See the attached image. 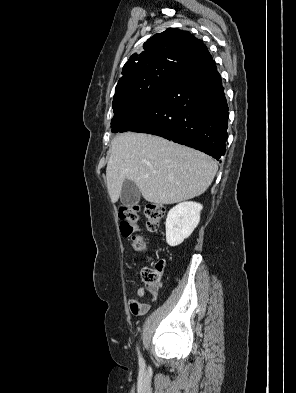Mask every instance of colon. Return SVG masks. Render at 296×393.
Returning <instances> with one entry per match:
<instances>
[{
	"mask_svg": "<svg viewBox=\"0 0 296 393\" xmlns=\"http://www.w3.org/2000/svg\"><path fill=\"white\" fill-rule=\"evenodd\" d=\"M139 206L123 207L120 209V232L122 237L128 239L134 250L142 251L145 248L143 237L138 234L137 221L140 212ZM147 227L151 231L157 230L165 215V207L158 203H147L143 208ZM163 273L161 261L142 270V279L151 291L158 289Z\"/></svg>",
	"mask_w": 296,
	"mask_h": 393,
	"instance_id": "1",
	"label": "colon"
}]
</instances>
